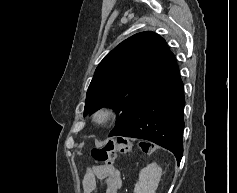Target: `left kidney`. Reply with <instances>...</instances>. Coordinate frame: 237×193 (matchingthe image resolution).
I'll use <instances>...</instances> for the list:
<instances>
[{"label":"left kidney","instance_id":"obj_1","mask_svg":"<svg viewBox=\"0 0 237 193\" xmlns=\"http://www.w3.org/2000/svg\"><path fill=\"white\" fill-rule=\"evenodd\" d=\"M161 176L162 169L156 163L147 165L139 173L134 193H156Z\"/></svg>","mask_w":237,"mask_h":193}]
</instances>
